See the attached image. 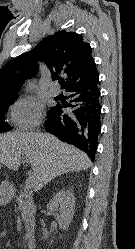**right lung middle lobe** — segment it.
Segmentation results:
<instances>
[{
	"mask_svg": "<svg viewBox=\"0 0 135 249\" xmlns=\"http://www.w3.org/2000/svg\"><path fill=\"white\" fill-rule=\"evenodd\" d=\"M17 97H10L0 101V132H5L11 128L3 121L8 106L11 105Z\"/></svg>",
	"mask_w": 135,
	"mask_h": 249,
	"instance_id": "obj_1",
	"label": "right lung middle lobe"
}]
</instances>
